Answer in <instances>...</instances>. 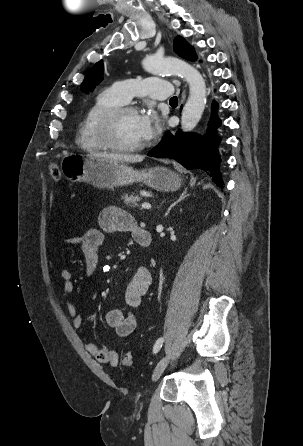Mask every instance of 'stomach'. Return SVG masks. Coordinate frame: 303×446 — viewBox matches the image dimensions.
<instances>
[{
    "label": "stomach",
    "instance_id": "1",
    "mask_svg": "<svg viewBox=\"0 0 303 446\" xmlns=\"http://www.w3.org/2000/svg\"><path fill=\"white\" fill-rule=\"evenodd\" d=\"M64 177L75 182H88L95 187L113 189L134 182H143L163 192L176 191L182 186V178L165 167L134 170L124 163L107 162L95 158H84L67 153L60 163Z\"/></svg>",
    "mask_w": 303,
    "mask_h": 446
}]
</instances>
